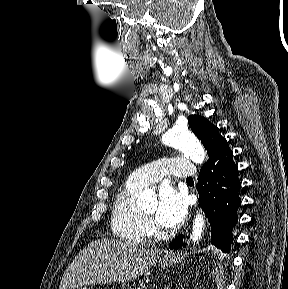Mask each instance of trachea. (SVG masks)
<instances>
[{
  "label": "trachea",
  "instance_id": "1",
  "mask_svg": "<svg viewBox=\"0 0 288 289\" xmlns=\"http://www.w3.org/2000/svg\"><path fill=\"white\" fill-rule=\"evenodd\" d=\"M187 180H193V178H192V177H189V178H187Z\"/></svg>",
  "mask_w": 288,
  "mask_h": 289
}]
</instances>
